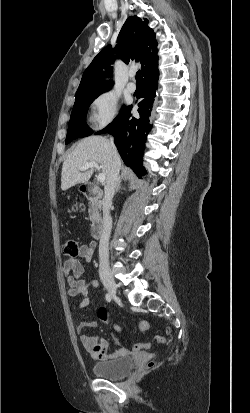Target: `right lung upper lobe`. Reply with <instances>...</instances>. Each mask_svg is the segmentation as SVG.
Segmentation results:
<instances>
[{
  "instance_id": "cb5924a9",
  "label": "right lung upper lobe",
  "mask_w": 250,
  "mask_h": 413,
  "mask_svg": "<svg viewBox=\"0 0 250 413\" xmlns=\"http://www.w3.org/2000/svg\"><path fill=\"white\" fill-rule=\"evenodd\" d=\"M147 23V19L143 22L137 16L126 20L118 35L115 49L108 45L93 59L83 73L76 95L109 90L112 84L106 83L104 78L111 74L110 65L115 58H120L125 63H129L130 59L141 61L143 77L158 70L157 41Z\"/></svg>"
}]
</instances>
